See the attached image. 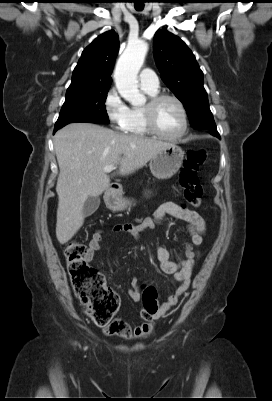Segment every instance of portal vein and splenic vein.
Returning <instances> with one entry per match:
<instances>
[{"instance_id": "18ae733b", "label": "portal vein and splenic vein", "mask_w": 272, "mask_h": 401, "mask_svg": "<svg viewBox=\"0 0 272 401\" xmlns=\"http://www.w3.org/2000/svg\"><path fill=\"white\" fill-rule=\"evenodd\" d=\"M115 168H116V167H115L114 165H108V166H105V167L103 168V170H104V172H106V173H110V172L113 171Z\"/></svg>"}]
</instances>
